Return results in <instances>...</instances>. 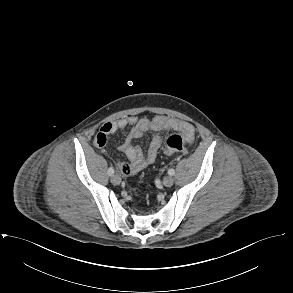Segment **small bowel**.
<instances>
[{
	"label": "small bowel",
	"instance_id": "small-bowel-1",
	"mask_svg": "<svg viewBox=\"0 0 293 293\" xmlns=\"http://www.w3.org/2000/svg\"><path fill=\"white\" fill-rule=\"evenodd\" d=\"M127 128L131 129L126 133L118 148L126 155L129 163L116 160L120 173L125 176L135 175L155 162L161 145V133L163 131H177L181 133L189 144L193 142L195 135L193 126L180 119L164 115H157L152 119L127 116L115 121L105 122L94 138L95 146L104 149L110 135L119 131L124 132ZM147 133L151 134V141L146 153H144L140 147L134 146L132 142Z\"/></svg>",
	"mask_w": 293,
	"mask_h": 293
}]
</instances>
